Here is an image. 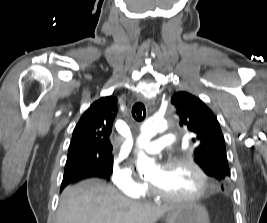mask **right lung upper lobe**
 <instances>
[{"instance_id": "1", "label": "right lung upper lobe", "mask_w": 267, "mask_h": 223, "mask_svg": "<svg viewBox=\"0 0 267 223\" xmlns=\"http://www.w3.org/2000/svg\"><path fill=\"white\" fill-rule=\"evenodd\" d=\"M116 105L115 97H102L84 112L73 131L67 162L112 156L109 136Z\"/></svg>"}]
</instances>
